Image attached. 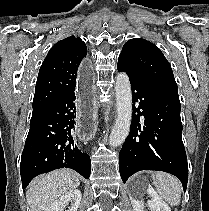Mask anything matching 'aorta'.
Here are the masks:
<instances>
[{
    "instance_id": "aorta-1",
    "label": "aorta",
    "mask_w": 209,
    "mask_h": 211,
    "mask_svg": "<svg viewBox=\"0 0 209 211\" xmlns=\"http://www.w3.org/2000/svg\"><path fill=\"white\" fill-rule=\"evenodd\" d=\"M115 93L117 118L109 137V144L112 147H117L125 141L130 131L132 119L131 86L129 78L124 72L117 74Z\"/></svg>"
}]
</instances>
